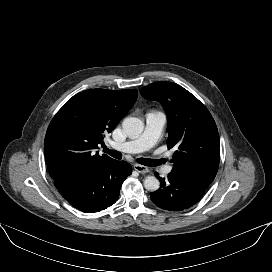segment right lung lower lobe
I'll list each match as a JSON object with an SVG mask.
<instances>
[{
    "instance_id": "obj_1",
    "label": "right lung lower lobe",
    "mask_w": 272,
    "mask_h": 272,
    "mask_svg": "<svg viewBox=\"0 0 272 272\" xmlns=\"http://www.w3.org/2000/svg\"><path fill=\"white\" fill-rule=\"evenodd\" d=\"M132 173L126 161L112 158L94 169L54 180L60 194L83 212H98L114 204L123 181Z\"/></svg>"
}]
</instances>
